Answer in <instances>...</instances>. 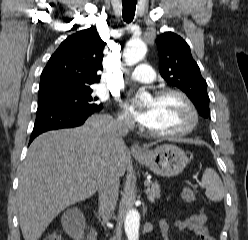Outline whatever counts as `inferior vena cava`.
Returning a JSON list of instances; mask_svg holds the SVG:
<instances>
[{
    "label": "inferior vena cava",
    "instance_id": "inferior-vena-cava-1",
    "mask_svg": "<svg viewBox=\"0 0 248 240\" xmlns=\"http://www.w3.org/2000/svg\"><path fill=\"white\" fill-rule=\"evenodd\" d=\"M132 123L129 118L116 120L110 127L109 141L119 147L122 137L127 135ZM120 176L114 165L109 162L105 168L99 185V212L106 223L112 216L118 200Z\"/></svg>",
    "mask_w": 248,
    "mask_h": 240
}]
</instances>
